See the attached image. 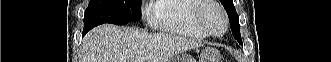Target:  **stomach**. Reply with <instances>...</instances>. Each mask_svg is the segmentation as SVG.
I'll return each mask as SVG.
<instances>
[{"instance_id":"obj_1","label":"stomach","mask_w":331,"mask_h":62,"mask_svg":"<svg viewBox=\"0 0 331 62\" xmlns=\"http://www.w3.org/2000/svg\"><path fill=\"white\" fill-rule=\"evenodd\" d=\"M200 62H220V53L212 47H207L202 50ZM169 62H195L193 58L187 55H176Z\"/></svg>"}]
</instances>
